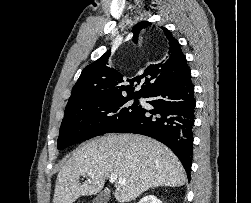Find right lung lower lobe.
Returning <instances> with one entry per match:
<instances>
[{
	"instance_id": "98d812e1",
	"label": "right lung lower lobe",
	"mask_w": 251,
	"mask_h": 203,
	"mask_svg": "<svg viewBox=\"0 0 251 203\" xmlns=\"http://www.w3.org/2000/svg\"><path fill=\"white\" fill-rule=\"evenodd\" d=\"M154 109L141 108L114 132L143 134L168 146L190 178L195 119L194 86L189 67L146 95Z\"/></svg>"
}]
</instances>
